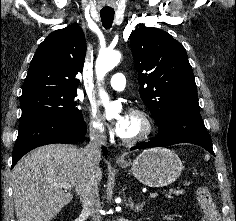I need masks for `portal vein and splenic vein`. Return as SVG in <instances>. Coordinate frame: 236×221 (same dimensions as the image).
I'll return each instance as SVG.
<instances>
[{"mask_svg":"<svg viewBox=\"0 0 236 221\" xmlns=\"http://www.w3.org/2000/svg\"><path fill=\"white\" fill-rule=\"evenodd\" d=\"M61 187H63L65 190H68V189H71V188H72V186L69 185V184H63V185H61ZM157 196H158V192H154V193H151V194L149 195V198H155V197H157Z\"/></svg>","mask_w":236,"mask_h":221,"instance_id":"18ae733b","label":"portal vein and splenic vein"}]
</instances>
